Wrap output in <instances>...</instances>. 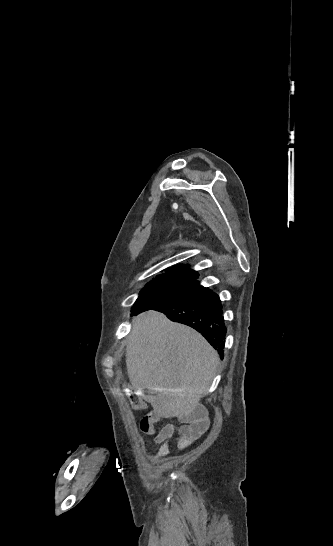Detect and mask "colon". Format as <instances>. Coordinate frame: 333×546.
<instances>
[{
	"label": "colon",
	"instance_id": "obj_1",
	"mask_svg": "<svg viewBox=\"0 0 333 546\" xmlns=\"http://www.w3.org/2000/svg\"><path fill=\"white\" fill-rule=\"evenodd\" d=\"M131 403L136 410H143L146 408V403L136 395H131ZM155 423V415L148 413L141 417L140 428L145 433H153Z\"/></svg>",
	"mask_w": 333,
	"mask_h": 546
}]
</instances>
